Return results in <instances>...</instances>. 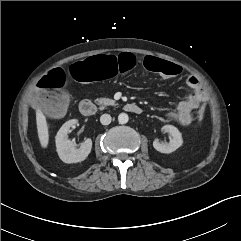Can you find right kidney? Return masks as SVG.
I'll list each match as a JSON object with an SVG mask.
<instances>
[{
  "label": "right kidney",
  "mask_w": 241,
  "mask_h": 241,
  "mask_svg": "<svg viewBox=\"0 0 241 241\" xmlns=\"http://www.w3.org/2000/svg\"><path fill=\"white\" fill-rule=\"evenodd\" d=\"M77 123L72 119L63 124L56 135V150L60 159L68 164L82 162L90 154L92 149V140L87 139L79 149H76L73 142L68 139L70 128Z\"/></svg>",
  "instance_id": "right-kidney-1"
}]
</instances>
